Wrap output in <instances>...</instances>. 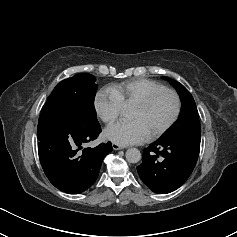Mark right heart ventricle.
Segmentation results:
<instances>
[{"label":"right heart ventricle","mask_w":237,"mask_h":237,"mask_svg":"<svg viewBox=\"0 0 237 237\" xmlns=\"http://www.w3.org/2000/svg\"><path fill=\"white\" fill-rule=\"evenodd\" d=\"M162 88H165L162 84L146 78L130 79L110 87L118 95L122 105L134 104Z\"/></svg>","instance_id":"e07e8e85"}]
</instances>
